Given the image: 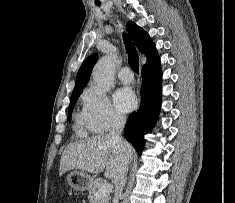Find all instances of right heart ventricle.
Masks as SVG:
<instances>
[{"instance_id": "e07e8e85", "label": "right heart ventricle", "mask_w": 235, "mask_h": 203, "mask_svg": "<svg viewBox=\"0 0 235 203\" xmlns=\"http://www.w3.org/2000/svg\"><path fill=\"white\" fill-rule=\"evenodd\" d=\"M76 122L77 129L80 133L85 134L87 131L90 130L84 113L77 115Z\"/></svg>"}]
</instances>
